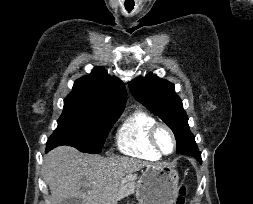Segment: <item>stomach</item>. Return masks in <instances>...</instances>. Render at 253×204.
<instances>
[{"label":"stomach","mask_w":253,"mask_h":204,"mask_svg":"<svg viewBox=\"0 0 253 204\" xmlns=\"http://www.w3.org/2000/svg\"><path fill=\"white\" fill-rule=\"evenodd\" d=\"M178 184L179 174L170 165H148L137 181L138 204H174Z\"/></svg>","instance_id":"1"}]
</instances>
